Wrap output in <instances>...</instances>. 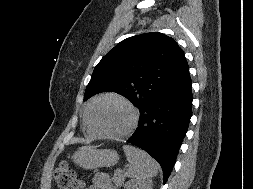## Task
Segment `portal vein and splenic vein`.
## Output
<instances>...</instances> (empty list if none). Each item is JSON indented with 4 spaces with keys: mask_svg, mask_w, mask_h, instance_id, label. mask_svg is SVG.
Here are the masks:
<instances>
[{
    "mask_svg": "<svg viewBox=\"0 0 253 189\" xmlns=\"http://www.w3.org/2000/svg\"><path fill=\"white\" fill-rule=\"evenodd\" d=\"M117 171H118V172H121V170H120V169H118Z\"/></svg>",
    "mask_w": 253,
    "mask_h": 189,
    "instance_id": "1",
    "label": "portal vein and splenic vein"
}]
</instances>
